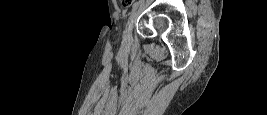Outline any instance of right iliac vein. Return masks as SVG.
Listing matches in <instances>:
<instances>
[{"mask_svg": "<svg viewBox=\"0 0 267 115\" xmlns=\"http://www.w3.org/2000/svg\"><path fill=\"white\" fill-rule=\"evenodd\" d=\"M136 18H137V13H134L131 16V18H130V20H129L126 28H125V32H124V35H123V39L124 40H128L130 38L132 29H133V25H134V22H135Z\"/></svg>", "mask_w": 267, "mask_h": 115, "instance_id": "63e3f726", "label": "right iliac vein"}]
</instances>
